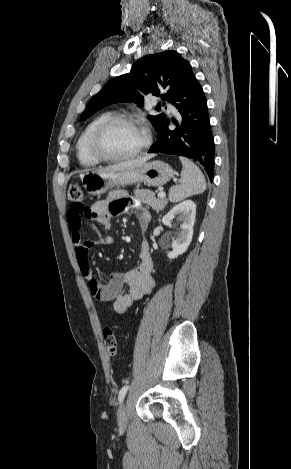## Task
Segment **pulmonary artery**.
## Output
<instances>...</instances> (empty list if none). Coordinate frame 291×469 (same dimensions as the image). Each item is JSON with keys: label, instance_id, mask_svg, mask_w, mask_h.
<instances>
[{"label": "pulmonary artery", "instance_id": "pulmonary-artery-1", "mask_svg": "<svg viewBox=\"0 0 291 469\" xmlns=\"http://www.w3.org/2000/svg\"><path fill=\"white\" fill-rule=\"evenodd\" d=\"M166 106H167L169 111L173 112L175 110L174 106L172 104L168 103V102L166 103Z\"/></svg>", "mask_w": 291, "mask_h": 469}]
</instances>
